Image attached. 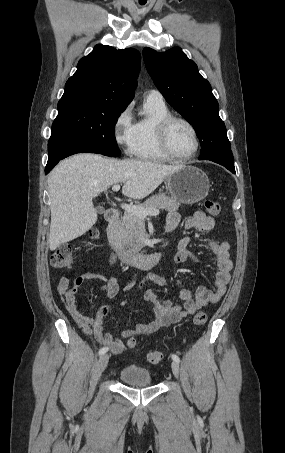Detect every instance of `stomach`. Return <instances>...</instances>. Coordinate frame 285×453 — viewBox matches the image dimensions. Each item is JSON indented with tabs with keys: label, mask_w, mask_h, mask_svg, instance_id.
I'll list each match as a JSON object with an SVG mask.
<instances>
[{
	"label": "stomach",
	"mask_w": 285,
	"mask_h": 453,
	"mask_svg": "<svg viewBox=\"0 0 285 453\" xmlns=\"http://www.w3.org/2000/svg\"><path fill=\"white\" fill-rule=\"evenodd\" d=\"M167 187L171 197L177 202L194 204L207 197L210 181L201 169L183 165L167 176Z\"/></svg>",
	"instance_id": "0dacf381"
}]
</instances>
